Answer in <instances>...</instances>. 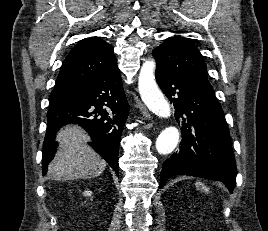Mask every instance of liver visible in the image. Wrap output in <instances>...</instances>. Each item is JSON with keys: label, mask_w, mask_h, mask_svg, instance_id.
Here are the masks:
<instances>
[{"label": "liver", "mask_w": 268, "mask_h": 231, "mask_svg": "<svg viewBox=\"0 0 268 231\" xmlns=\"http://www.w3.org/2000/svg\"><path fill=\"white\" fill-rule=\"evenodd\" d=\"M56 141L59 149L48 166L53 180L91 179L104 172L106 162L87 145L89 137L80 127L65 126L57 133Z\"/></svg>", "instance_id": "1"}]
</instances>
